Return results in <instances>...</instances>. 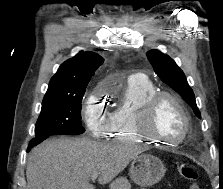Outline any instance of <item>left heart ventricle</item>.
Segmentation results:
<instances>
[{"label":"left heart ventricle","mask_w":223,"mask_h":189,"mask_svg":"<svg viewBox=\"0 0 223 189\" xmlns=\"http://www.w3.org/2000/svg\"><path fill=\"white\" fill-rule=\"evenodd\" d=\"M151 130L169 141L180 138L184 131V119L180 110L169 100L158 104L151 125Z\"/></svg>","instance_id":"obj_1"}]
</instances>
